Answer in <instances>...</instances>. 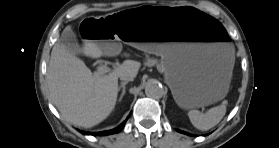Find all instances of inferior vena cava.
<instances>
[{
    "label": "inferior vena cava",
    "instance_id": "602c4592",
    "mask_svg": "<svg viewBox=\"0 0 279 148\" xmlns=\"http://www.w3.org/2000/svg\"><path fill=\"white\" fill-rule=\"evenodd\" d=\"M120 80H122V81H132L133 80V78H131V77H127V76H121L120 77Z\"/></svg>",
    "mask_w": 279,
    "mask_h": 148
}]
</instances>
